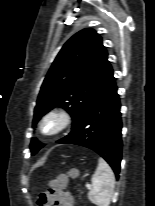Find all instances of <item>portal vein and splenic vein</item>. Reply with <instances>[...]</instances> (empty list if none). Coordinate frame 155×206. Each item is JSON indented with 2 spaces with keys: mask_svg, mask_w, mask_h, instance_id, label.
I'll return each instance as SVG.
<instances>
[{
  "mask_svg": "<svg viewBox=\"0 0 155 206\" xmlns=\"http://www.w3.org/2000/svg\"><path fill=\"white\" fill-rule=\"evenodd\" d=\"M85 187H86V188H91V184L86 183V184H85Z\"/></svg>",
  "mask_w": 155,
  "mask_h": 206,
  "instance_id": "18ae733b",
  "label": "portal vein and splenic vein"
}]
</instances>
